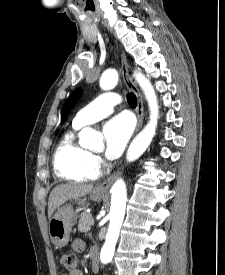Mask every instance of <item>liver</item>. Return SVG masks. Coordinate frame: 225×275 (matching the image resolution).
I'll return each mask as SVG.
<instances>
[{"mask_svg": "<svg viewBox=\"0 0 225 275\" xmlns=\"http://www.w3.org/2000/svg\"><path fill=\"white\" fill-rule=\"evenodd\" d=\"M93 188L92 184L78 183L61 184L56 186L49 195L48 218L50 219L54 211L66 201L86 196L92 192Z\"/></svg>", "mask_w": 225, "mask_h": 275, "instance_id": "obj_1", "label": "liver"}]
</instances>
